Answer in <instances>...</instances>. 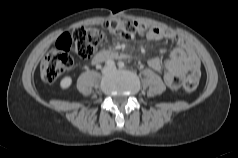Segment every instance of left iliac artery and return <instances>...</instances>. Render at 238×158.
I'll list each match as a JSON object with an SVG mask.
<instances>
[{
  "label": "left iliac artery",
  "instance_id": "1",
  "mask_svg": "<svg viewBox=\"0 0 238 158\" xmlns=\"http://www.w3.org/2000/svg\"><path fill=\"white\" fill-rule=\"evenodd\" d=\"M118 67H119V68H123V67H124V63H123L122 61H120V62L118 63Z\"/></svg>",
  "mask_w": 238,
  "mask_h": 158
}]
</instances>
